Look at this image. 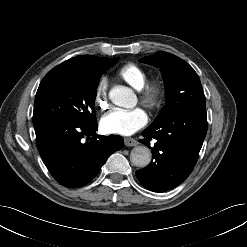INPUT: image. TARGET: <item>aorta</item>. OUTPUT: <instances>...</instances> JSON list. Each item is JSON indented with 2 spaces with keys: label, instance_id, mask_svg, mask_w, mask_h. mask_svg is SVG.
<instances>
[{
  "label": "aorta",
  "instance_id": "aorta-1",
  "mask_svg": "<svg viewBox=\"0 0 247 247\" xmlns=\"http://www.w3.org/2000/svg\"><path fill=\"white\" fill-rule=\"evenodd\" d=\"M109 97L115 105L127 108L134 105L136 98L132 90L125 86H114L110 90ZM130 160L134 166L144 168L151 161V151L146 146H136L131 151Z\"/></svg>",
  "mask_w": 247,
  "mask_h": 247
}]
</instances>
